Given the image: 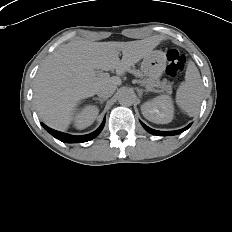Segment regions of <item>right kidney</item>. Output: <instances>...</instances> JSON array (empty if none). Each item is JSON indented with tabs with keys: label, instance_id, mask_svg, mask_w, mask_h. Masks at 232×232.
Listing matches in <instances>:
<instances>
[{
	"label": "right kidney",
	"instance_id": "1",
	"mask_svg": "<svg viewBox=\"0 0 232 232\" xmlns=\"http://www.w3.org/2000/svg\"><path fill=\"white\" fill-rule=\"evenodd\" d=\"M99 109L95 105H86L83 108H73L71 120L77 129H84L90 126L96 119Z\"/></svg>",
	"mask_w": 232,
	"mask_h": 232
}]
</instances>
